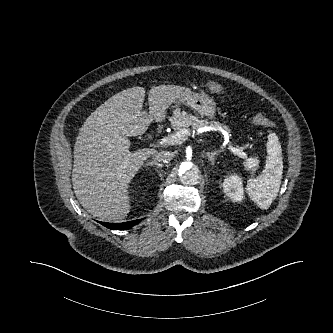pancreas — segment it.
Wrapping results in <instances>:
<instances>
[{
	"mask_svg": "<svg viewBox=\"0 0 333 333\" xmlns=\"http://www.w3.org/2000/svg\"><path fill=\"white\" fill-rule=\"evenodd\" d=\"M171 123L175 130V133L179 132L181 130H184V129L187 131H190L191 129L195 130V129H199V128L207 127V126H213V127L220 126L219 123H209L206 120H200V119H198V117L187 114L186 112H180L179 110L174 111V116L172 118ZM223 128L225 130L229 131L228 126L224 125ZM246 167L254 172L258 168V161L254 158H249V159H247Z\"/></svg>",
	"mask_w": 333,
	"mask_h": 333,
	"instance_id": "1",
	"label": "pancreas"
}]
</instances>
